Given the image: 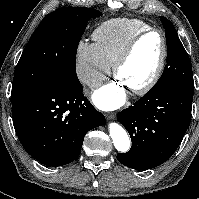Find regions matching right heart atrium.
<instances>
[{
  "label": "right heart atrium",
  "mask_w": 199,
  "mask_h": 199,
  "mask_svg": "<svg viewBox=\"0 0 199 199\" xmlns=\"http://www.w3.org/2000/svg\"><path fill=\"white\" fill-rule=\"evenodd\" d=\"M76 75L91 89L97 88L111 72V65L102 56L95 43L80 41L76 48Z\"/></svg>",
  "instance_id": "right-heart-atrium-1"
}]
</instances>
